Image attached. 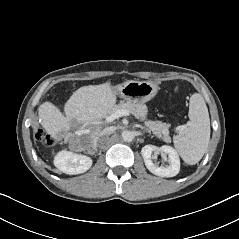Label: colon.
Returning a JSON list of instances; mask_svg holds the SVG:
<instances>
[{"instance_id":"5ec220e1","label":"colon","mask_w":239,"mask_h":239,"mask_svg":"<svg viewBox=\"0 0 239 239\" xmlns=\"http://www.w3.org/2000/svg\"><path fill=\"white\" fill-rule=\"evenodd\" d=\"M35 137L38 141L42 142L46 146H52L54 144L53 138L48 135L43 129H38Z\"/></svg>"}]
</instances>
